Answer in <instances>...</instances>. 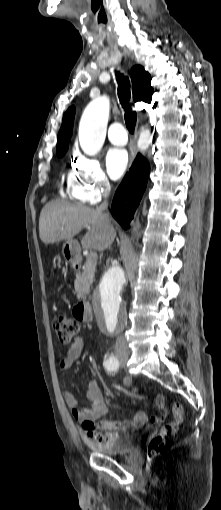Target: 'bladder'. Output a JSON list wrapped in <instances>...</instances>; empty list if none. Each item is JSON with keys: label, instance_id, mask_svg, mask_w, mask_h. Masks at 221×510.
<instances>
[{"label": "bladder", "instance_id": "bladder-1", "mask_svg": "<svg viewBox=\"0 0 221 510\" xmlns=\"http://www.w3.org/2000/svg\"><path fill=\"white\" fill-rule=\"evenodd\" d=\"M88 446L96 452L106 456H120L131 452L136 446V437L133 434L123 435L110 442H90Z\"/></svg>", "mask_w": 221, "mask_h": 510}]
</instances>
